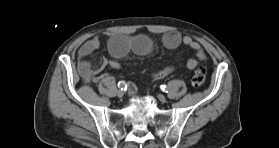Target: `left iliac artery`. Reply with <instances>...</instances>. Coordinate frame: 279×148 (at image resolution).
Here are the masks:
<instances>
[{
	"label": "left iliac artery",
	"mask_w": 279,
	"mask_h": 148,
	"mask_svg": "<svg viewBox=\"0 0 279 148\" xmlns=\"http://www.w3.org/2000/svg\"><path fill=\"white\" fill-rule=\"evenodd\" d=\"M160 89L163 91V92H167L168 91V87L166 85H161L160 86Z\"/></svg>",
	"instance_id": "1"
}]
</instances>
